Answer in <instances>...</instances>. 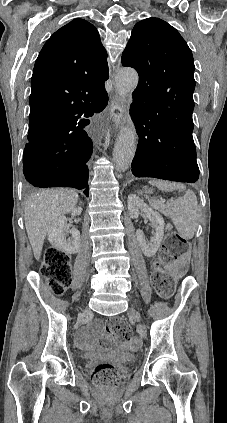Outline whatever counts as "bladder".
I'll list each match as a JSON object with an SVG mask.
<instances>
[{
  "label": "bladder",
  "mask_w": 227,
  "mask_h": 423,
  "mask_svg": "<svg viewBox=\"0 0 227 423\" xmlns=\"http://www.w3.org/2000/svg\"><path fill=\"white\" fill-rule=\"evenodd\" d=\"M94 360V356L90 353L80 354V361L83 364L89 363ZM115 364L119 365H135L137 362V354L132 352H126L121 358L112 359Z\"/></svg>",
  "instance_id": "obj_1"
}]
</instances>
